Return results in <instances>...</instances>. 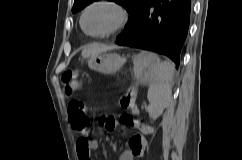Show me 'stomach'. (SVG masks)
Instances as JSON below:
<instances>
[{
    "label": "stomach",
    "instance_id": "stomach-1",
    "mask_svg": "<svg viewBox=\"0 0 242 160\" xmlns=\"http://www.w3.org/2000/svg\"><path fill=\"white\" fill-rule=\"evenodd\" d=\"M126 57L116 53L100 54L88 61L91 70L104 74H111L118 71L126 62ZM135 77L142 83H147L152 78L151 59L148 52H142L133 56Z\"/></svg>",
    "mask_w": 242,
    "mask_h": 160
}]
</instances>
